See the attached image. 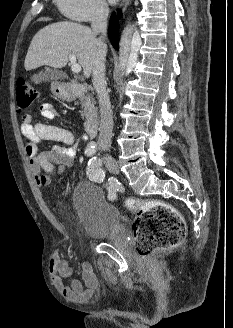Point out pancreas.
<instances>
[{
  "mask_svg": "<svg viewBox=\"0 0 233 328\" xmlns=\"http://www.w3.org/2000/svg\"><path fill=\"white\" fill-rule=\"evenodd\" d=\"M79 99H80V103L82 106L81 116L86 117L87 119L95 117L97 114V110L95 107L96 102H95L94 98L92 97V95L91 94H87V95L83 94L79 97Z\"/></svg>",
  "mask_w": 233,
  "mask_h": 328,
  "instance_id": "pancreas-1",
  "label": "pancreas"
}]
</instances>
